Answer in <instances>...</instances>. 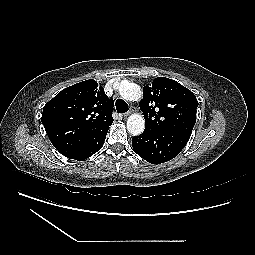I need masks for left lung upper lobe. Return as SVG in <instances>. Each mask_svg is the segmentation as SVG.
<instances>
[{"label":"left lung upper lobe","instance_id":"left-lung-upper-lobe-1","mask_svg":"<svg viewBox=\"0 0 255 255\" xmlns=\"http://www.w3.org/2000/svg\"><path fill=\"white\" fill-rule=\"evenodd\" d=\"M145 130L171 131L191 135L196 122L198 101L195 95L175 80L158 77L143 88L139 103Z\"/></svg>","mask_w":255,"mask_h":255}]
</instances>
